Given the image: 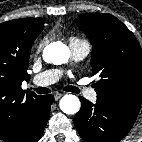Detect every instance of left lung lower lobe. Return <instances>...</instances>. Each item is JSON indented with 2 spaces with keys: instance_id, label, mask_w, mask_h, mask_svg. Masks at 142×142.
Instances as JSON below:
<instances>
[{
  "instance_id": "1",
  "label": "left lung lower lobe",
  "mask_w": 142,
  "mask_h": 142,
  "mask_svg": "<svg viewBox=\"0 0 142 142\" xmlns=\"http://www.w3.org/2000/svg\"><path fill=\"white\" fill-rule=\"evenodd\" d=\"M81 109L74 124L86 142H118L131 129L135 120L128 118L99 100L95 104L80 98Z\"/></svg>"
}]
</instances>
